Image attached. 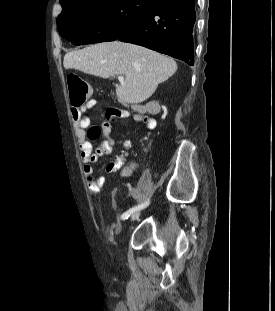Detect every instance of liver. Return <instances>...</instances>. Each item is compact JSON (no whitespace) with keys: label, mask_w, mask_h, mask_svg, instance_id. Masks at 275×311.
I'll list each match as a JSON object with an SVG mask.
<instances>
[{"label":"liver","mask_w":275,"mask_h":311,"mask_svg":"<svg viewBox=\"0 0 275 311\" xmlns=\"http://www.w3.org/2000/svg\"><path fill=\"white\" fill-rule=\"evenodd\" d=\"M65 69H76L107 79L113 75L126 78L117 86L122 103L138 104L148 99L157 86L177 70L176 62L145 47L120 41L103 42L66 53Z\"/></svg>","instance_id":"liver-1"}]
</instances>
